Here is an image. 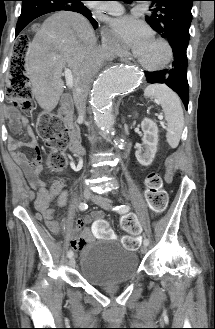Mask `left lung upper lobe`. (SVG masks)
I'll use <instances>...</instances> for the list:
<instances>
[{"label":"left lung upper lobe","mask_w":215,"mask_h":329,"mask_svg":"<svg viewBox=\"0 0 215 329\" xmlns=\"http://www.w3.org/2000/svg\"><path fill=\"white\" fill-rule=\"evenodd\" d=\"M154 9L146 22L163 38L176 37L189 42L192 4L195 0H149Z\"/></svg>","instance_id":"1"}]
</instances>
